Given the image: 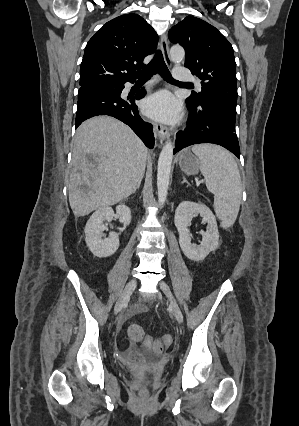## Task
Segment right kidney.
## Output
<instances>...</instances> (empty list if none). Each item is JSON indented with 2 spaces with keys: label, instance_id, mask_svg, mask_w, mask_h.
I'll return each mask as SVG.
<instances>
[{
  "label": "right kidney",
  "instance_id": "ca27d5eb",
  "mask_svg": "<svg viewBox=\"0 0 299 426\" xmlns=\"http://www.w3.org/2000/svg\"><path fill=\"white\" fill-rule=\"evenodd\" d=\"M116 214L120 223L127 226L131 222V210L128 206L120 204L116 207ZM115 216L111 207H104L95 211L86 223L85 241L94 256L99 258L113 255L119 247V237L115 232H111L108 238L103 237L106 229L104 221H111Z\"/></svg>",
  "mask_w": 299,
  "mask_h": 426
}]
</instances>
